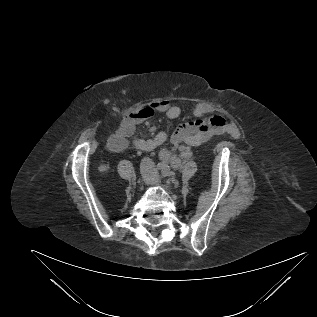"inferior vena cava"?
<instances>
[{
  "instance_id": "602c4592",
  "label": "inferior vena cava",
  "mask_w": 317,
  "mask_h": 317,
  "mask_svg": "<svg viewBox=\"0 0 317 317\" xmlns=\"http://www.w3.org/2000/svg\"><path fill=\"white\" fill-rule=\"evenodd\" d=\"M149 162H150L149 159L145 158V159H143L142 164L149 163Z\"/></svg>"
}]
</instances>
